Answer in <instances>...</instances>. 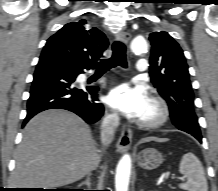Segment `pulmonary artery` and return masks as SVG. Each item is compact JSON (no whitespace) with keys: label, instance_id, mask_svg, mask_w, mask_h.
<instances>
[{"label":"pulmonary artery","instance_id":"e3ab8cb5","mask_svg":"<svg viewBox=\"0 0 218 191\" xmlns=\"http://www.w3.org/2000/svg\"><path fill=\"white\" fill-rule=\"evenodd\" d=\"M148 62L146 59H140L138 60L136 64L137 73H142L147 69Z\"/></svg>","mask_w":218,"mask_h":191}]
</instances>
